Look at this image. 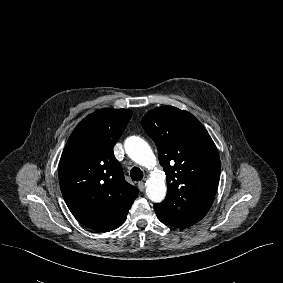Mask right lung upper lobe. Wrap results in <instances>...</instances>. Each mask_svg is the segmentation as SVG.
Wrapping results in <instances>:
<instances>
[{
  "label": "right lung upper lobe",
  "instance_id": "1",
  "mask_svg": "<svg viewBox=\"0 0 283 283\" xmlns=\"http://www.w3.org/2000/svg\"><path fill=\"white\" fill-rule=\"evenodd\" d=\"M131 115L130 110L111 108L91 113L73 130L62 153L63 198L73 216L95 231L121 226L138 195L113 153Z\"/></svg>",
  "mask_w": 283,
  "mask_h": 283
}]
</instances>
